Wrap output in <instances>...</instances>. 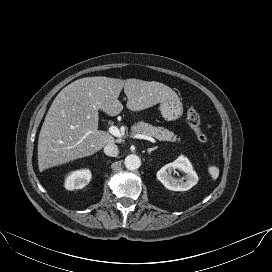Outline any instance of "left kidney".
<instances>
[{
    "instance_id": "5707ae66",
    "label": "left kidney",
    "mask_w": 272,
    "mask_h": 272,
    "mask_svg": "<svg viewBox=\"0 0 272 272\" xmlns=\"http://www.w3.org/2000/svg\"><path fill=\"white\" fill-rule=\"evenodd\" d=\"M179 170L185 174V181L180 182L172 177V172ZM157 179L169 190L187 191L198 182V176L193 170L190 161L183 155L179 156L172 163L166 164L157 172Z\"/></svg>"
}]
</instances>
